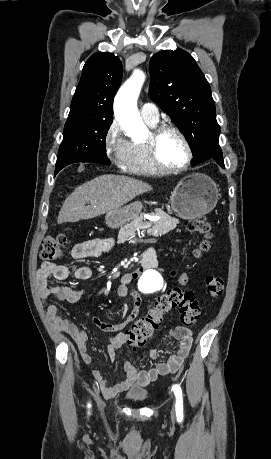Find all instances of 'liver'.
<instances>
[{"mask_svg": "<svg viewBox=\"0 0 271 459\" xmlns=\"http://www.w3.org/2000/svg\"><path fill=\"white\" fill-rule=\"evenodd\" d=\"M150 190L152 188L148 184L128 176H113V174L98 176L75 188L74 192L66 198L59 212L58 224L91 220L106 212H114L139 194Z\"/></svg>", "mask_w": 271, "mask_h": 459, "instance_id": "obj_1", "label": "liver"}]
</instances>
